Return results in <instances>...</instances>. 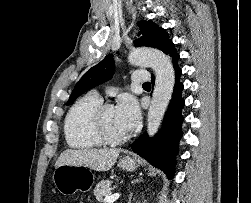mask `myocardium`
I'll return each mask as SVG.
<instances>
[{
	"mask_svg": "<svg viewBox=\"0 0 251 203\" xmlns=\"http://www.w3.org/2000/svg\"><path fill=\"white\" fill-rule=\"evenodd\" d=\"M113 105L110 103H101L94 111L92 116V131L96 137L105 144H121L130 138V134L126 133L123 136H112L106 129L104 123V114L107 109L112 108Z\"/></svg>",
	"mask_w": 251,
	"mask_h": 203,
	"instance_id": "f54148a6",
	"label": "myocardium"
}]
</instances>
